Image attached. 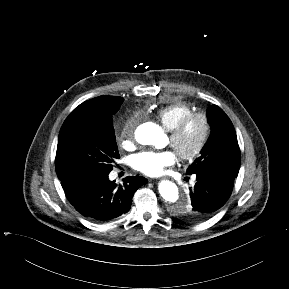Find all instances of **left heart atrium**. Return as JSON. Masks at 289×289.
Listing matches in <instances>:
<instances>
[{"mask_svg": "<svg viewBox=\"0 0 289 289\" xmlns=\"http://www.w3.org/2000/svg\"><path fill=\"white\" fill-rule=\"evenodd\" d=\"M177 155L173 150H147L131 158L132 167L147 176H158L164 169L175 164Z\"/></svg>", "mask_w": 289, "mask_h": 289, "instance_id": "left-heart-atrium-1", "label": "left heart atrium"}]
</instances>
